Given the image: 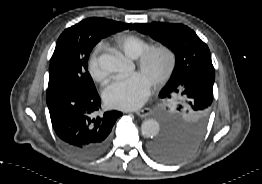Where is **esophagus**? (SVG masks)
Here are the masks:
<instances>
[{
	"instance_id": "1",
	"label": "esophagus",
	"mask_w": 262,
	"mask_h": 184,
	"mask_svg": "<svg viewBox=\"0 0 262 184\" xmlns=\"http://www.w3.org/2000/svg\"><path fill=\"white\" fill-rule=\"evenodd\" d=\"M151 112H152V111H151L150 108H145V109H141V110L137 111L136 114H137L139 117L143 118V117L148 116Z\"/></svg>"
}]
</instances>
